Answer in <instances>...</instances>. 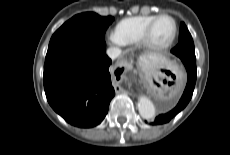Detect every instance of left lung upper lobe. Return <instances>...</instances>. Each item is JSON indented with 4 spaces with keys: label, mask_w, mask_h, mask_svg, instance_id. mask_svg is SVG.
Listing matches in <instances>:
<instances>
[{
    "label": "left lung upper lobe",
    "mask_w": 230,
    "mask_h": 155,
    "mask_svg": "<svg viewBox=\"0 0 230 155\" xmlns=\"http://www.w3.org/2000/svg\"><path fill=\"white\" fill-rule=\"evenodd\" d=\"M171 52L181 60L192 59L193 61H196L193 39L187 26L183 22L180 24L179 43L171 50Z\"/></svg>",
    "instance_id": "left-lung-upper-lobe-1"
}]
</instances>
